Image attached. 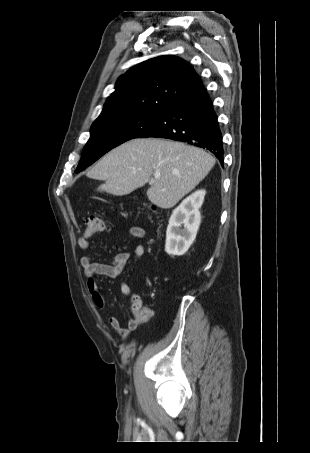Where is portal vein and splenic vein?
<instances>
[{
    "label": "portal vein and splenic vein",
    "mask_w": 310,
    "mask_h": 453,
    "mask_svg": "<svg viewBox=\"0 0 310 453\" xmlns=\"http://www.w3.org/2000/svg\"><path fill=\"white\" fill-rule=\"evenodd\" d=\"M154 177H155V179H158V178H160V174H155Z\"/></svg>",
    "instance_id": "1"
}]
</instances>
